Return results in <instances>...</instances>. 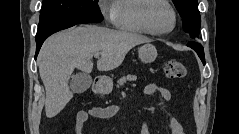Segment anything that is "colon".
I'll use <instances>...</instances> for the list:
<instances>
[{"instance_id": "obj_1", "label": "colon", "mask_w": 239, "mask_h": 134, "mask_svg": "<svg viewBox=\"0 0 239 134\" xmlns=\"http://www.w3.org/2000/svg\"><path fill=\"white\" fill-rule=\"evenodd\" d=\"M167 78L172 80L182 79L186 74L185 66L179 61H169L164 67Z\"/></svg>"}]
</instances>
